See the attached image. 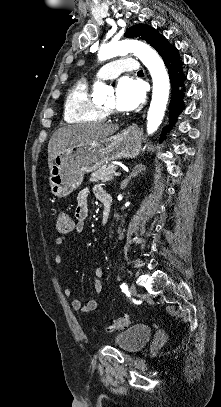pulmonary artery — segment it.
<instances>
[{"mask_svg":"<svg viewBox=\"0 0 221 407\" xmlns=\"http://www.w3.org/2000/svg\"><path fill=\"white\" fill-rule=\"evenodd\" d=\"M140 69L139 62L130 56H121L102 66L96 74L97 78H115L121 73L135 74Z\"/></svg>","mask_w":221,"mask_h":407,"instance_id":"e3ab8cb5","label":"pulmonary artery"}]
</instances>
